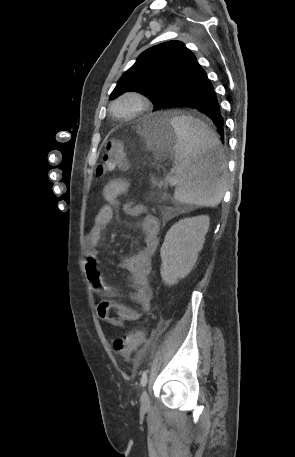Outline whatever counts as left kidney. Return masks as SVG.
<instances>
[{
    "mask_svg": "<svg viewBox=\"0 0 295 457\" xmlns=\"http://www.w3.org/2000/svg\"><path fill=\"white\" fill-rule=\"evenodd\" d=\"M209 224V217L202 215L181 219L168 230L160 251V273L167 285H174L189 274L203 247Z\"/></svg>",
    "mask_w": 295,
    "mask_h": 457,
    "instance_id": "1",
    "label": "left kidney"
}]
</instances>
